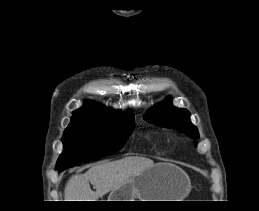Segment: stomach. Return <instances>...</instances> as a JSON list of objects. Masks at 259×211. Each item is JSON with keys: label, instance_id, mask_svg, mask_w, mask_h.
Instances as JSON below:
<instances>
[{"label": "stomach", "instance_id": "stomach-1", "mask_svg": "<svg viewBox=\"0 0 259 211\" xmlns=\"http://www.w3.org/2000/svg\"><path fill=\"white\" fill-rule=\"evenodd\" d=\"M189 184L180 168L157 163L113 189L109 201H180L188 194Z\"/></svg>", "mask_w": 259, "mask_h": 211}]
</instances>
